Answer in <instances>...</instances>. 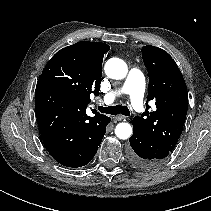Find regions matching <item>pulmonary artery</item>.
Here are the masks:
<instances>
[{"label":"pulmonary artery","instance_id":"pulmonary-artery-1","mask_svg":"<svg viewBox=\"0 0 211 211\" xmlns=\"http://www.w3.org/2000/svg\"><path fill=\"white\" fill-rule=\"evenodd\" d=\"M145 78L143 74L137 69H131L124 81L121 92L130 96L133 109L141 113L144 109L143 98L145 93ZM120 92H109L103 97L105 104H111L115 101L117 94Z\"/></svg>","mask_w":211,"mask_h":211}]
</instances>
